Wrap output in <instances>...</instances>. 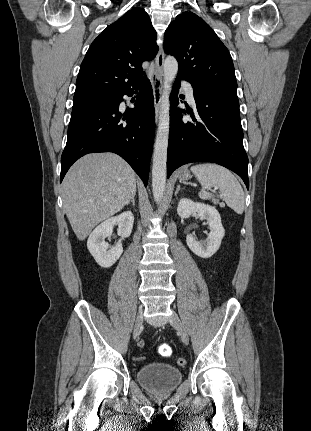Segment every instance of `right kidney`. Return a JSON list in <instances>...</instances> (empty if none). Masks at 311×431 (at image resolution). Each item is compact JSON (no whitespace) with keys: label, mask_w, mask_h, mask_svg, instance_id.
Masks as SVG:
<instances>
[{"label":"right kidney","mask_w":311,"mask_h":431,"mask_svg":"<svg viewBox=\"0 0 311 431\" xmlns=\"http://www.w3.org/2000/svg\"><path fill=\"white\" fill-rule=\"evenodd\" d=\"M133 223L134 216L132 212H123L120 216L105 219L103 223H99V225L93 229L92 233H90L87 239V247L101 267H111V265L119 259L121 253H123L121 239H119L114 247H110V249L109 243L105 241V237L111 235L113 225H119L118 235H121V237H129Z\"/></svg>","instance_id":"ca27d5eb"}]
</instances>
